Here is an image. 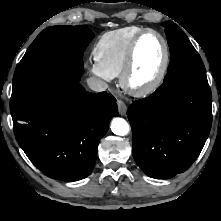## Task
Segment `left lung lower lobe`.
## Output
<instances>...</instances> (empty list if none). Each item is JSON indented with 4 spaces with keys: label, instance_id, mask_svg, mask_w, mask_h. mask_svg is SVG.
<instances>
[{
    "label": "left lung lower lobe",
    "instance_id": "left-lung-lower-lobe-1",
    "mask_svg": "<svg viewBox=\"0 0 221 221\" xmlns=\"http://www.w3.org/2000/svg\"><path fill=\"white\" fill-rule=\"evenodd\" d=\"M211 103L208 81L187 77L164 81L133 101L127 111L132 153L146 175L167 179L193 164L211 129Z\"/></svg>",
    "mask_w": 221,
    "mask_h": 221
}]
</instances>
